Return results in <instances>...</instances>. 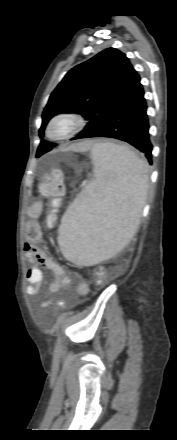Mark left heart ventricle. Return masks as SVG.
Returning a JSON list of instances; mask_svg holds the SVG:
<instances>
[{"label": "left heart ventricle", "instance_id": "obj_1", "mask_svg": "<svg viewBox=\"0 0 177 440\" xmlns=\"http://www.w3.org/2000/svg\"><path fill=\"white\" fill-rule=\"evenodd\" d=\"M63 127H64V125H63V124H61V125H59V127H58V128L60 129V128H63Z\"/></svg>", "mask_w": 177, "mask_h": 440}]
</instances>
